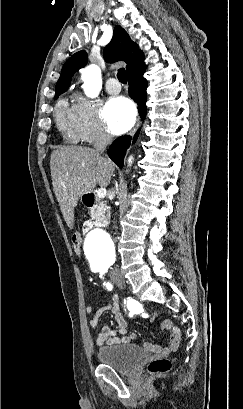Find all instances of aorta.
Instances as JSON below:
<instances>
[{"mask_svg": "<svg viewBox=\"0 0 243 409\" xmlns=\"http://www.w3.org/2000/svg\"><path fill=\"white\" fill-rule=\"evenodd\" d=\"M83 88L90 98L98 96L102 88L101 70L97 65L91 64L82 70ZM132 157L129 158L131 163ZM113 242L109 234L103 229L91 230L85 238L84 250L90 261L100 264L113 250Z\"/></svg>", "mask_w": 243, "mask_h": 409, "instance_id": "obj_1", "label": "aorta"}]
</instances>
